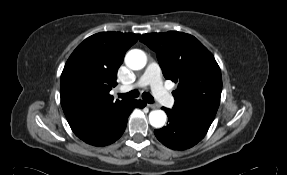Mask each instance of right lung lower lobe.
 Listing matches in <instances>:
<instances>
[{"mask_svg": "<svg viewBox=\"0 0 287 175\" xmlns=\"http://www.w3.org/2000/svg\"><path fill=\"white\" fill-rule=\"evenodd\" d=\"M145 106L146 103L142 100H128L112 114L107 123L79 138L93 146L109 145L118 140L123 134L127 125V118L132 110L134 108H144Z\"/></svg>", "mask_w": 287, "mask_h": 175, "instance_id": "right-lung-lower-lobe-1", "label": "right lung lower lobe"}]
</instances>
